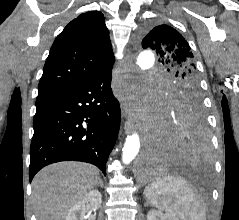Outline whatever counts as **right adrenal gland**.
Here are the masks:
<instances>
[{
	"mask_svg": "<svg viewBox=\"0 0 239 220\" xmlns=\"http://www.w3.org/2000/svg\"><path fill=\"white\" fill-rule=\"evenodd\" d=\"M97 185H100L101 188L104 187L103 182H102V180L100 178H99V180L97 182Z\"/></svg>",
	"mask_w": 239,
	"mask_h": 220,
	"instance_id": "1",
	"label": "right adrenal gland"
}]
</instances>
